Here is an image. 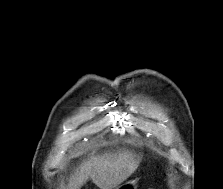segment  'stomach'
<instances>
[{
  "mask_svg": "<svg viewBox=\"0 0 223 189\" xmlns=\"http://www.w3.org/2000/svg\"><path fill=\"white\" fill-rule=\"evenodd\" d=\"M135 187H136V182L135 181H129V182H126L125 184L119 186L116 189H136Z\"/></svg>",
  "mask_w": 223,
  "mask_h": 189,
  "instance_id": "0dacf381",
  "label": "stomach"
}]
</instances>
